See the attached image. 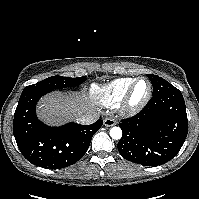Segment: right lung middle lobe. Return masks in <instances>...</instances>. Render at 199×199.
<instances>
[{
	"label": "right lung middle lobe",
	"instance_id": "right-lung-middle-lobe-1",
	"mask_svg": "<svg viewBox=\"0 0 199 199\" xmlns=\"http://www.w3.org/2000/svg\"><path fill=\"white\" fill-rule=\"evenodd\" d=\"M86 79H87L86 76L77 77V78L52 76L36 84L25 87L23 91L35 90L41 92H51L55 89H63V88L78 86L82 84Z\"/></svg>",
	"mask_w": 199,
	"mask_h": 199
}]
</instances>
